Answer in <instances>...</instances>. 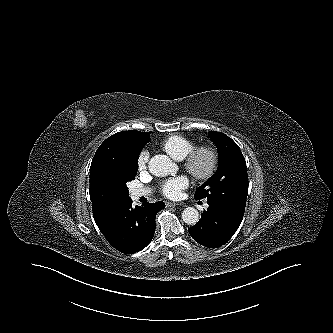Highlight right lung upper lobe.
<instances>
[{"label":"right lung upper lobe","instance_id":"cb5924a9","mask_svg":"<svg viewBox=\"0 0 333 333\" xmlns=\"http://www.w3.org/2000/svg\"><path fill=\"white\" fill-rule=\"evenodd\" d=\"M150 133L135 130L118 132L97 149L90 167V199L99 229L113 211L128 200L119 189V174L123 164L150 140Z\"/></svg>","mask_w":333,"mask_h":333}]
</instances>
